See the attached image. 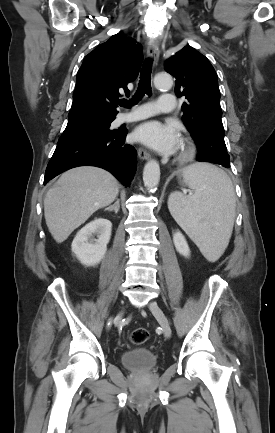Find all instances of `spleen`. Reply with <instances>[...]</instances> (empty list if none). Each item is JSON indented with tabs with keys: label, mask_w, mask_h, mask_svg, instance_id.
<instances>
[{
	"label": "spleen",
	"mask_w": 275,
	"mask_h": 433,
	"mask_svg": "<svg viewBox=\"0 0 275 433\" xmlns=\"http://www.w3.org/2000/svg\"><path fill=\"white\" fill-rule=\"evenodd\" d=\"M182 177L194 194L172 193L168 208L204 257L215 262L233 231L236 202L232 181L223 170L206 163L185 167Z\"/></svg>",
	"instance_id": "spleen-1"
}]
</instances>
